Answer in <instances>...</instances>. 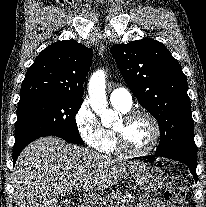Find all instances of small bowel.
I'll return each instance as SVG.
<instances>
[{
    "label": "small bowel",
    "instance_id": "small-bowel-1",
    "mask_svg": "<svg viewBox=\"0 0 206 207\" xmlns=\"http://www.w3.org/2000/svg\"><path fill=\"white\" fill-rule=\"evenodd\" d=\"M137 207H166V205L155 198L144 196Z\"/></svg>",
    "mask_w": 206,
    "mask_h": 207
}]
</instances>
